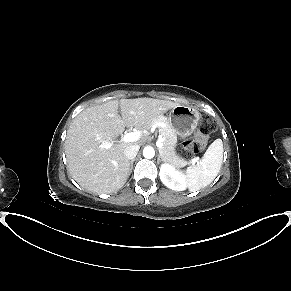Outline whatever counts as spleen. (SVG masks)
Segmentation results:
<instances>
[{
    "mask_svg": "<svg viewBox=\"0 0 291 291\" xmlns=\"http://www.w3.org/2000/svg\"><path fill=\"white\" fill-rule=\"evenodd\" d=\"M223 159V143L216 139L195 166L188 167L186 178L189 190L194 192L208 186L218 175Z\"/></svg>",
    "mask_w": 291,
    "mask_h": 291,
    "instance_id": "3e777b00",
    "label": "spleen"
}]
</instances>
